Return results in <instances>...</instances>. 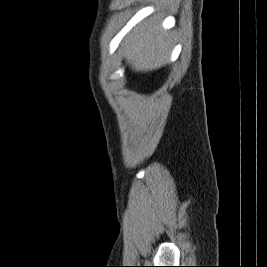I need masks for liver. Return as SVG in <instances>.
Returning <instances> with one entry per match:
<instances>
[{
    "label": "liver",
    "mask_w": 267,
    "mask_h": 267,
    "mask_svg": "<svg viewBox=\"0 0 267 267\" xmlns=\"http://www.w3.org/2000/svg\"><path fill=\"white\" fill-rule=\"evenodd\" d=\"M160 16L143 21L129 33L122 50L135 71L148 72L165 64L172 43V34L159 30Z\"/></svg>",
    "instance_id": "1"
}]
</instances>
